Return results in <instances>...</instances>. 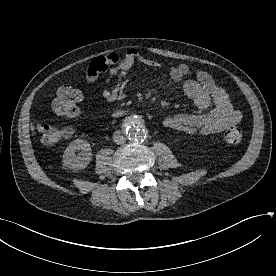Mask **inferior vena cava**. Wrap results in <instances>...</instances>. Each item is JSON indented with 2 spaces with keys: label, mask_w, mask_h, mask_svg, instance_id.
<instances>
[{
  "label": "inferior vena cava",
  "mask_w": 276,
  "mask_h": 276,
  "mask_svg": "<svg viewBox=\"0 0 276 276\" xmlns=\"http://www.w3.org/2000/svg\"><path fill=\"white\" fill-rule=\"evenodd\" d=\"M113 141L116 144H123L125 142L124 133L122 131H115L113 134Z\"/></svg>",
  "instance_id": "602c4592"
}]
</instances>
